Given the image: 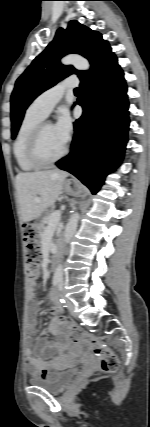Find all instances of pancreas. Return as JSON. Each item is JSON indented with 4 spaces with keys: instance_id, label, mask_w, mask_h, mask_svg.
Returning <instances> with one entry per match:
<instances>
[{
    "instance_id": "pancreas-1",
    "label": "pancreas",
    "mask_w": 150,
    "mask_h": 427,
    "mask_svg": "<svg viewBox=\"0 0 150 427\" xmlns=\"http://www.w3.org/2000/svg\"><path fill=\"white\" fill-rule=\"evenodd\" d=\"M53 212H51L48 216H46L43 220H42V222H41V225L38 227V230H39V235L41 236V237H43V235H44V231L47 229V227H45V224H49V222H50V216H51V214H52ZM57 224V223H56Z\"/></svg>"
}]
</instances>
